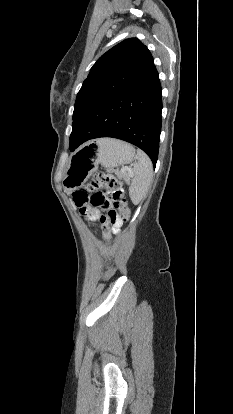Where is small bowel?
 Returning a JSON list of instances; mask_svg holds the SVG:
<instances>
[{"mask_svg": "<svg viewBox=\"0 0 233 414\" xmlns=\"http://www.w3.org/2000/svg\"><path fill=\"white\" fill-rule=\"evenodd\" d=\"M79 209H80L81 214L87 216L90 220L100 222V218L102 214L100 208L87 205ZM111 225H112L113 231L117 233L120 230L122 221L119 218H117L112 222Z\"/></svg>", "mask_w": 233, "mask_h": 414, "instance_id": "1", "label": "small bowel"}]
</instances>
